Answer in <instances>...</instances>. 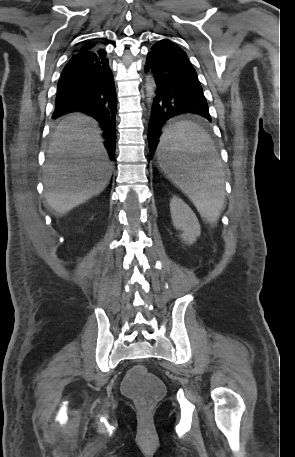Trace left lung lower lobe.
I'll list each match as a JSON object with an SVG mask.
<instances>
[{
  "instance_id": "obj_1",
  "label": "left lung lower lobe",
  "mask_w": 295,
  "mask_h": 457,
  "mask_svg": "<svg viewBox=\"0 0 295 457\" xmlns=\"http://www.w3.org/2000/svg\"><path fill=\"white\" fill-rule=\"evenodd\" d=\"M146 64L145 70L153 74L157 86L148 130L152 158L168 119L181 114H196L209 121L211 117L197 73L178 45L167 39L156 42Z\"/></svg>"
}]
</instances>
